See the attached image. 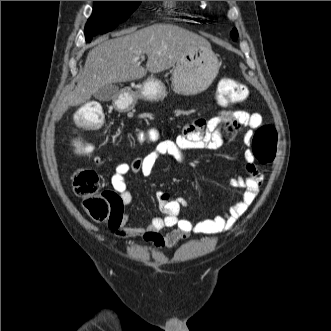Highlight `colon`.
<instances>
[{
	"label": "colon",
	"mask_w": 331,
	"mask_h": 331,
	"mask_svg": "<svg viewBox=\"0 0 331 331\" xmlns=\"http://www.w3.org/2000/svg\"><path fill=\"white\" fill-rule=\"evenodd\" d=\"M247 88L230 78H224L218 86V102L223 106L237 104L247 97ZM105 120L102 107L97 102H89L75 114V127L79 130H99ZM158 133L155 130L146 131L141 135L142 140L155 141ZM278 141L277 129L272 124H264L257 128L252 138V153L261 163L273 160ZM79 153L88 154L90 148L76 143ZM75 193L83 199V206L87 213L96 221H106L112 218L114 211H118L122 202L113 191H101L98 175L94 170L82 168L73 176Z\"/></svg>",
	"instance_id": "1"
}]
</instances>
